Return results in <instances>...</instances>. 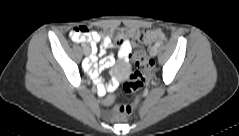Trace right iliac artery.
Masks as SVG:
<instances>
[{
  "mask_svg": "<svg viewBox=\"0 0 239 136\" xmlns=\"http://www.w3.org/2000/svg\"><path fill=\"white\" fill-rule=\"evenodd\" d=\"M81 47H82V48H86V47H87V44H86V43H81Z\"/></svg>",
  "mask_w": 239,
  "mask_h": 136,
  "instance_id": "82829eb1",
  "label": "right iliac artery"
}]
</instances>
